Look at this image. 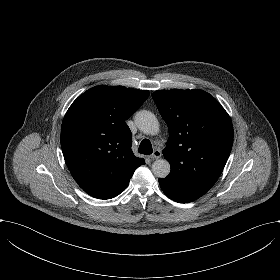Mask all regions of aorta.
<instances>
[{"mask_svg": "<svg viewBox=\"0 0 280 280\" xmlns=\"http://www.w3.org/2000/svg\"><path fill=\"white\" fill-rule=\"evenodd\" d=\"M135 122L141 132L146 135L155 136L160 134V124L154 113L140 111L135 116ZM171 165L166 159H156L152 164V172L158 178H165L169 175Z\"/></svg>", "mask_w": 280, "mask_h": 280, "instance_id": "762f6f07", "label": "aorta"}]
</instances>
